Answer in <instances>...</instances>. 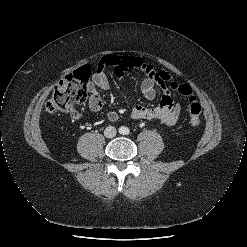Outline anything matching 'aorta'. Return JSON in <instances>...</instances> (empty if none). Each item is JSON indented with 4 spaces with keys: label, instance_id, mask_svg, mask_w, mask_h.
Segmentation results:
<instances>
[{
    "label": "aorta",
    "instance_id": "aorta-1",
    "mask_svg": "<svg viewBox=\"0 0 247 247\" xmlns=\"http://www.w3.org/2000/svg\"><path fill=\"white\" fill-rule=\"evenodd\" d=\"M122 130H126V128H121Z\"/></svg>",
    "mask_w": 247,
    "mask_h": 247
}]
</instances>
